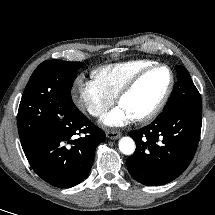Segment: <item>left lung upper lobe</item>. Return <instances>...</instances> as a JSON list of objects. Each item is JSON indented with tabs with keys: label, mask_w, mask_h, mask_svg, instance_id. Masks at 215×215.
I'll use <instances>...</instances> for the list:
<instances>
[{
	"label": "left lung upper lobe",
	"mask_w": 215,
	"mask_h": 215,
	"mask_svg": "<svg viewBox=\"0 0 215 215\" xmlns=\"http://www.w3.org/2000/svg\"><path fill=\"white\" fill-rule=\"evenodd\" d=\"M178 81L164 110L173 108H189L202 111L200 94L195 87L188 71L178 66Z\"/></svg>",
	"instance_id": "left-lung-upper-lobe-1"
}]
</instances>
